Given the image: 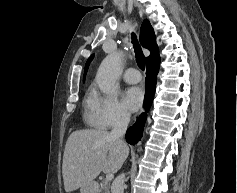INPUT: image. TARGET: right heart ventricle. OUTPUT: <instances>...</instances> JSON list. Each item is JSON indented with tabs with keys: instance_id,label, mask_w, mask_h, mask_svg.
<instances>
[{
	"instance_id": "1",
	"label": "right heart ventricle",
	"mask_w": 237,
	"mask_h": 193,
	"mask_svg": "<svg viewBox=\"0 0 237 193\" xmlns=\"http://www.w3.org/2000/svg\"><path fill=\"white\" fill-rule=\"evenodd\" d=\"M90 102H91V94H89L85 100V104L87 107V119L89 120L90 123H92V117L89 111V106H90ZM93 124V123H92Z\"/></svg>"
}]
</instances>
